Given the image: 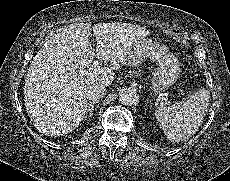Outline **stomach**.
Returning <instances> with one entry per match:
<instances>
[{
	"instance_id": "obj_1",
	"label": "stomach",
	"mask_w": 230,
	"mask_h": 181,
	"mask_svg": "<svg viewBox=\"0 0 230 181\" xmlns=\"http://www.w3.org/2000/svg\"><path fill=\"white\" fill-rule=\"evenodd\" d=\"M152 46H155L150 41L143 42L136 50L137 56L148 52ZM160 53L157 58L158 67L153 72V91L161 93L169 87L177 78L179 66L172 54L166 51L163 47H159ZM135 55L129 56L133 58Z\"/></svg>"
}]
</instances>
